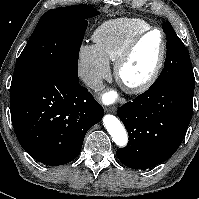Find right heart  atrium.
Returning <instances> with one entry per match:
<instances>
[{
  "label": "right heart atrium",
  "instance_id": "obj_1",
  "mask_svg": "<svg viewBox=\"0 0 199 199\" xmlns=\"http://www.w3.org/2000/svg\"><path fill=\"white\" fill-rule=\"evenodd\" d=\"M78 73L89 88L97 90L109 76V62L95 45L83 44L79 49Z\"/></svg>",
  "mask_w": 199,
  "mask_h": 199
}]
</instances>
